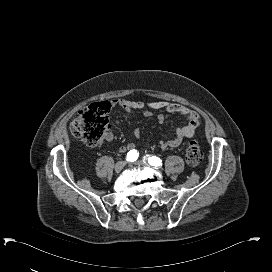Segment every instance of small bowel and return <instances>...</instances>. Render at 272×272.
<instances>
[{"mask_svg": "<svg viewBox=\"0 0 272 272\" xmlns=\"http://www.w3.org/2000/svg\"><path fill=\"white\" fill-rule=\"evenodd\" d=\"M112 104L115 107H118L120 110L125 112L126 114H131L137 110H143V115L146 118L151 117V112L148 109L160 110L162 114L158 116V121L163 122L164 114H178L185 118L186 123L182 126L177 128V134L170 140L161 139L158 144L161 148L165 149L167 147H177L179 146L184 138L191 137L198 124H199V115L192 109L179 104H171L165 101H157V102H150V103H143L140 101H129L125 99H114ZM116 124H119V121H116ZM133 136L138 138L140 136V130L134 129ZM113 132L110 129H107L104 133V140L106 142H110L113 140ZM136 148L135 143L128 142L123 144L120 147V152L125 153L128 151H134Z\"/></svg>", "mask_w": 272, "mask_h": 272, "instance_id": "small-bowel-1", "label": "small bowel"}]
</instances>
